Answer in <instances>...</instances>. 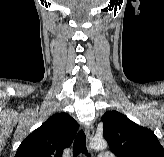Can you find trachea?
<instances>
[{
    "instance_id": "1",
    "label": "trachea",
    "mask_w": 164,
    "mask_h": 157,
    "mask_svg": "<svg viewBox=\"0 0 164 157\" xmlns=\"http://www.w3.org/2000/svg\"><path fill=\"white\" fill-rule=\"evenodd\" d=\"M79 153L89 156L86 148V136L83 130L78 132L73 145V156L76 157Z\"/></svg>"
}]
</instances>
